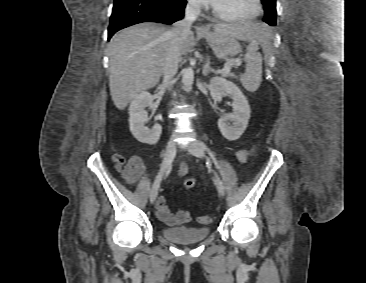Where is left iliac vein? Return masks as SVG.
Returning a JSON list of instances; mask_svg holds the SVG:
<instances>
[{
	"label": "left iliac vein",
	"mask_w": 366,
	"mask_h": 283,
	"mask_svg": "<svg viewBox=\"0 0 366 283\" xmlns=\"http://www.w3.org/2000/svg\"><path fill=\"white\" fill-rule=\"evenodd\" d=\"M187 149L192 155H194L196 157L203 158L205 156L204 149L202 148V145L199 141H194V142L190 143V145L188 146ZM215 184H216L219 194L221 196H224L225 195V186L223 184V181L217 174L215 175Z\"/></svg>",
	"instance_id": "4c4485c4"
}]
</instances>
